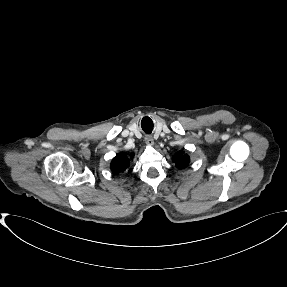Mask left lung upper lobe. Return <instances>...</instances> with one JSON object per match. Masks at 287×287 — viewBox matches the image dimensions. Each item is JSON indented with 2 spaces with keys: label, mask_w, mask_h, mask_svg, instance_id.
I'll use <instances>...</instances> for the list:
<instances>
[{
  "label": "left lung upper lobe",
  "mask_w": 287,
  "mask_h": 287,
  "mask_svg": "<svg viewBox=\"0 0 287 287\" xmlns=\"http://www.w3.org/2000/svg\"><path fill=\"white\" fill-rule=\"evenodd\" d=\"M173 161L176 163L178 168H185L190 161V158L187 154H183V152H177L173 158Z\"/></svg>",
  "instance_id": "1"
}]
</instances>
